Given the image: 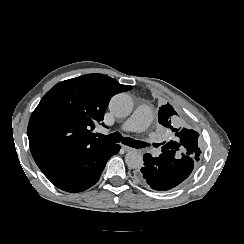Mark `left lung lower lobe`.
I'll return each mask as SVG.
<instances>
[{"mask_svg":"<svg viewBox=\"0 0 244 244\" xmlns=\"http://www.w3.org/2000/svg\"><path fill=\"white\" fill-rule=\"evenodd\" d=\"M144 167L136 172L137 181L160 191L174 188L183 182L192 172L195 159L181 155L174 150H164L159 157L144 155Z\"/></svg>","mask_w":244,"mask_h":244,"instance_id":"left-lung-lower-lobe-1","label":"left lung lower lobe"}]
</instances>
